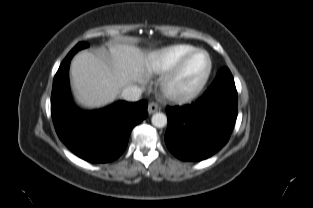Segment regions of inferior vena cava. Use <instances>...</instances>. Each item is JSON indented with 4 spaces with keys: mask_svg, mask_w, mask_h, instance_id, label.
<instances>
[{
    "mask_svg": "<svg viewBox=\"0 0 313 208\" xmlns=\"http://www.w3.org/2000/svg\"><path fill=\"white\" fill-rule=\"evenodd\" d=\"M142 90L137 86H127L121 92V98L127 101H138Z\"/></svg>",
    "mask_w": 313,
    "mask_h": 208,
    "instance_id": "obj_1",
    "label": "inferior vena cava"
}]
</instances>
